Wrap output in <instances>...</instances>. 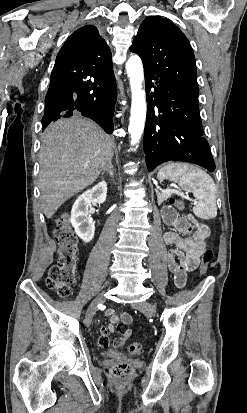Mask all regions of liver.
Returning a JSON list of instances; mask_svg holds the SVG:
<instances>
[{
    "mask_svg": "<svg viewBox=\"0 0 247 413\" xmlns=\"http://www.w3.org/2000/svg\"><path fill=\"white\" fill-rule=\"evenodd\" d=\"M39 152L43 213L51 219L61 204L98 178L113 156V140L103 128L73 114L45 128Z\"/></svg>",
    "mask_w": 247,
    "mask_h": 413,
    "instance_id": "liver-1",
    "label": "liver"
}]
</instances>
